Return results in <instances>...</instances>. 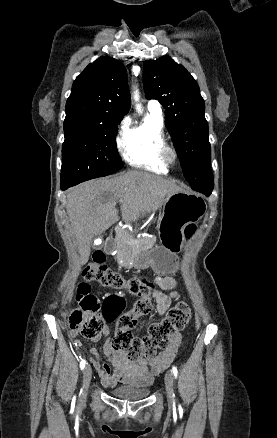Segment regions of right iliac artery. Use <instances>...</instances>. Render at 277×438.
Masks as SVG:
<instances>
[{
	"mask_svg": "<svg viewBox=\"0 0 277 438\" xmlns=\"http://www.w3.org/2000/svg\"><path fill=\"white\" fill-rule=\"evenodd\" d=\"M85 364H86V361H85L84 359H81V362H80V368H81V369H84Z\"/></svg>",
	"mask_w": 277,
	"mask_h": 438,
	"instance_id": "obj_1",
	"label": "right iliac artery"
}]
</instances>
